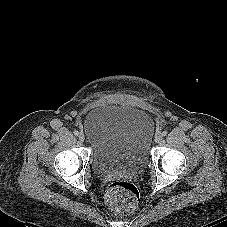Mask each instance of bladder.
Wrapping results in <instances>:
<instances>
[{
  "mask_svg": "<svg viewBox=\"0 0 227 227\" xmlns=\"http://www.w3.org/2000/svg\"><path fill=\"white\" fill-rule=\"evenodd\" d=\"M153 125L146 110L132 105L106 103L89 111L83 129L94 170L108 175L145 166Z\"/></svg>",
  "mask_w": 227,
  "mask_h": 227,
  "instance_id": "obj_1",
  "label": "bladder"
}]
</instances>
